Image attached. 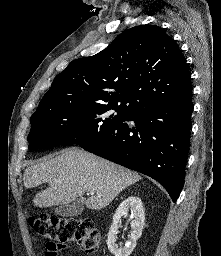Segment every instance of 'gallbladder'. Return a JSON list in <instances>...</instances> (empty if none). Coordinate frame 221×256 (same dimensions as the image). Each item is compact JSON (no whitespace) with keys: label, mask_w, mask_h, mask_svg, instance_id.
Returning <instances> with one entry per match:
<instances>
[{"label":"gallbladder","mask_w":221,"mask_h":256,"mask_svg":"<svg viewBox=\"0 0 221 256\" xmlns=\"http://www.w3.org/2000/svg\"><path fill=\"white\" fill-rule=\"evenodd\" d=\"M84 198L76 199L72 204L60 205L55 208V214L62 217L78 216L84 210Z\"/></svg>","instance_id":"gallbladder-1"}]
</instances>
